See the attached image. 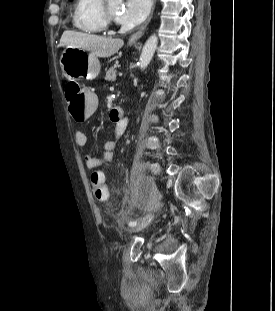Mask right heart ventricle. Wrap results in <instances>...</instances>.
Returning <instances> with one entry per match:
<instances>
[{
  "instance_id": "1",
  "label": "right heart ventricle",
  "mask_w": 275,
  "mask_h": 311,
  "mask_svg": "<svg viewBox=\"0 0 275 311\" xmlns=\"http://www.w3.org/2000/svg\"><path fill=\"white\" fill-rule=\"evenodd\" d=\"M103 0H75L72 12L73 27L87 34H102L106 30L101 15Z\"/></svg>"
}]
</instances>
